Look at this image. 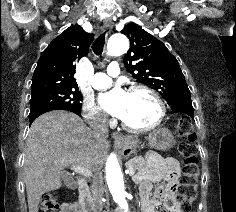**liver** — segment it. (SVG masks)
Instances as JSON below:
<instances>
[{
    "label": "liver",
    "mask_w": 236,
    "mask_h": 212,
    "mask_svg": "<svg viewBox=\"0 0 236 212\" xmlns=\"http://www.w3.org/2000/svg\"><path fill=\"white\" fill-rule=\"evenodd\" d=\"M23 167L29 212H37L41 196L62 186L63 170L82 166L100 171L108 151L106 139H96L80 117L52 111L31 125Z\"/></svg>",
    "instance_id": "obj_1"
}]
</instances>
